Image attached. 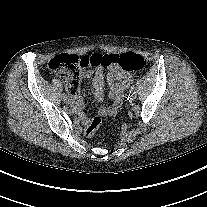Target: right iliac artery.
<instances>
[{"mask_svg": "<svg viewBox=\"0 0 207 207\" xmlns=\"http://www.w3.org/2000/svg\"><path fill=\"white\" fill-rule=\"evenodd\" d=\"M62 97H63V99L67 98V96H66L65 94H63V96H62Z\"/></svg>", "mask_w": 207, "mask_h": 207, "instance_id": "right-iliac-artery-1", "label": "right iliac artery"}]
</instances>
